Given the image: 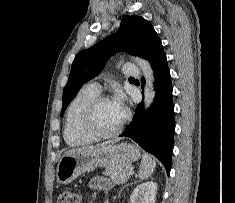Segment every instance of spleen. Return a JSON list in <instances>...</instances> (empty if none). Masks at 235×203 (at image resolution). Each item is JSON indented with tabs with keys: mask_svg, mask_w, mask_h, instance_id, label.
<instances>
[{
	"mask_svg": "<svg viewBox=\"0 0 235 203\" xmlns=\"http://www.w3.org/2000/svg\"><path fill=\"white\" fill-rule=\"evenodd\" d=\"M156 168V161L151 155L144 153L139 170V178L146 179L150 177Z\"/></svg>",
	"mask_w": 235,
	"mask_h": 203,
	"instance_id": "obj_1",
	"label": "spleen"
}]
</instances>
